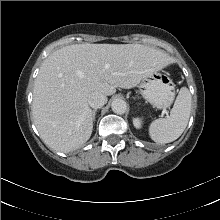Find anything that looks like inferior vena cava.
I'll list each match as a JSON object with an SVG mask.
<instances>
[{
  "label": "inferior vena cava",
  "mask_w": 220,
  "mask_h": 220,
  "mask_svg": "<svg viewBox=\"0 0 220 220\" xmlns=\"http://www.w3.org/2000/svg\"><path fill=\"white\" fill-rule=\"evenodd\" d=\"M106 101V97L99 92H93L88 96V105L94 109L103 107Z\"/></svg>",
  "instance_id": "obj_1"
}]
</instances>
